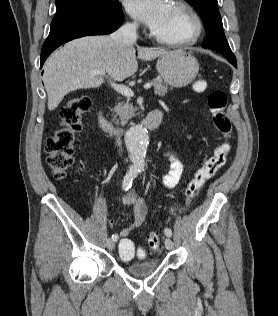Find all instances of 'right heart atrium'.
<instances>
[{
    "mask_svg": "<svg viewBox=\"0 0 278 316\" xmlns=\"http://www.w3.org/2000/svg\"><path fill=\"white\" fill-rule=\"evenodd\" d=\"M127 27L131 30H135L137 28V24L135 22H130L127 24Z\"/></svg>",
    "mask_w": 278,
    "mask_h": 316,
    "instance_id": "d8ad5b80",
    "label": "right heart atrium"
}]
</instances>
